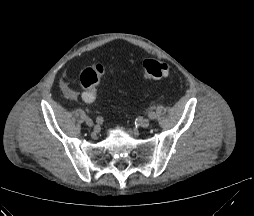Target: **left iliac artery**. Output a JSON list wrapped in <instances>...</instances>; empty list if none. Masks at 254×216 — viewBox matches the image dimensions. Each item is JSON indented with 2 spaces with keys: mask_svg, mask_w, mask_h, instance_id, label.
<instances>
[{
  "mask_svg": "<svg viewBox=\"0 0 254 216\" xmlns=\"http://www.w3.org/2000/svg\"><path fill=\"white\" fill-rule=\"evenodd\" d=\"M148 118L154 120L156 118V113L154 111H149Z\"/></svg>",
  "mask_w": 254,
  "mask_h": 216,
  "instance_id": "44dca946",
  "label": "left iliac artery"
}]
</instances>
